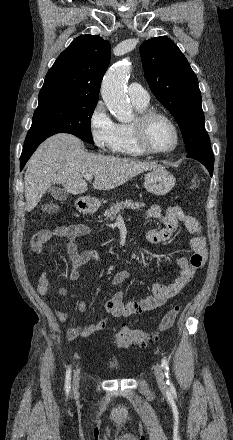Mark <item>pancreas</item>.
Listing matches in <instances>:
<instances>
[{"mask_svg":"<svg viewBox=\"0 0 233 440\" xmlns=\"http://www.w3.org/2000/svg\"><path fill=\"white\" fill-rule=\"evenodd\" d=\"M144 206H145L144 203L134 202L131 199L126 201L116 202L109 209H107L103 215L105 217V220L113 221L116 215L121 212V210L124 209L139 210Z\"/></svg>","mask_w":233,"mask_h":440,"instance_id":"1","label":"pancreas"}]
</instances>
